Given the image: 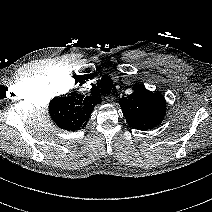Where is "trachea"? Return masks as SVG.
Returning a JSON list of instances; mask_svg holds the SVG:
<instances>
[{"instance_id": "3493384b", "label": "trachea", "mask_w": 212, "mask_h": 212, "mask_svg": "<svg viewBox=\"0 0 212 212\" xmlns=\"http://www.w3.org/2000/svg\"><path fill=\"white\" fill-rule=\"evenodd\" d=\"M101 90L103 93H109L112 90V79L108 75H104L100 81Z\"/></svg>"}]
</instances>
